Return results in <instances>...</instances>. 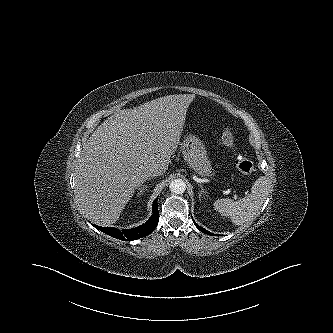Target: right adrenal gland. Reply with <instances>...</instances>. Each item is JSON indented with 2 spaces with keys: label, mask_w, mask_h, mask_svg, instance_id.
<instances>
[{
  "label": "right adrenal gland",
  "mask_w": 333,
  "mask_h": 333,
  "mask_svg": "<svg viewBox=\"0 0 333 333\" xmlns=\"http://www.w3.org/2000/svg\"><path fill=\"white\" fill-rule=\"evenodd\" d=\"M151 179H152V177L146 178V179L144 180V182L147 181V180L149 181V180H151ZM147 187H148V185H145V184L143 185V183H142L141 186H140V188H139V193H138V195H141V194L144 192V189L147 188Z\"/></svg>",
  "instance_id": "obj_1"
}]
</instances>
